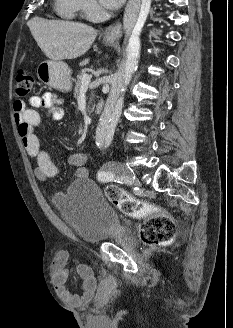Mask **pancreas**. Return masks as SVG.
Returning <instances> with one entry per match:
<instances>
[{
    "instance_id": "obj_1",
    "label": "pancreas",
    "mask_w": 233,
    "mask_h": 328,
    "mask_svg": "<svg viewBox=\"0 0 233 328\" xmlns=\"http://www.w3.org/2000/svg\"><path fill=\"white\" fill-rule=\"evenodd\" d=\"M83 75H87V74L82 72L80 75L77 76V82L74 87V97L75 98H78V96H79Z\"/></svg>"
}]
</instances>
